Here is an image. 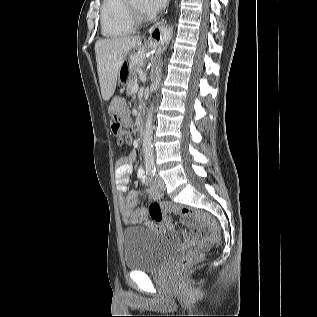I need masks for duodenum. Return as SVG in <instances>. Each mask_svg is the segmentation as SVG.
Listing matches in <instances>:
<instances>
[{"label": "duodenum", "instance_id": "obj_1", "mask_svg": "<svg viewBox=\"0 0 317 317\" xmlns=\"http://www.w3.org/2000/svg\"><path fill=\"white\" fill-rule=\"evenodd\" d=\"M137 135H138L139 138H144L146 134H145L144 131H142V130L140 129V131L138 132Z\"/></svg>", "mask_w": 317, "mask_h": 317}]
</instances>
